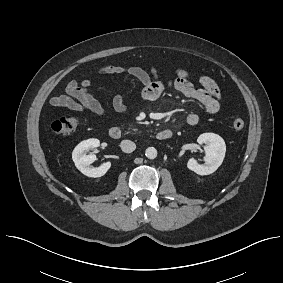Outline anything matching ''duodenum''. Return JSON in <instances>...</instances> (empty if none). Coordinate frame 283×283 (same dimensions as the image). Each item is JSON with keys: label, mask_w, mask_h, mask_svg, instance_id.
Listing matches in <instances>:
<instances>
[{"label": "duodenum", "mask_w": 283, "mask_h": 283, "mask_svg": "<svg viewBox=\"0 0 283 283\" xmlns=\"http://www.w3.org/2000/svg\"><path fill=\"white\" fill-rule=\"evenodd\" d=\"M172 131L170 129H165L159 131L156 135L157 139L159 140H167L172 137ZM109 135L112 139L118 140L121 138V130L118 127H112L109 130Z\"/></svg>", "instance_id": "410a0bca"}]
</instances>
